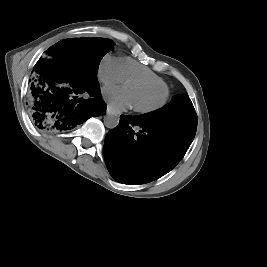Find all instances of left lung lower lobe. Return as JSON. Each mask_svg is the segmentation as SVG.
<instances>
[{"label":"left lung lower lobe","mask_w":267,"mask_h":267,"mask_svg":"<svg viewBox=\"0 0 267 267\" xmlns=\"http://www.w3.org/2000/svg\"><path fill=\"white\" fill-rule=\"evenodd\" d=\"M140 131H134V127ZM196 125L176 120L120 116L104 142V158L111 176L124 184L156 180L183 158L196 133Z\"/></svg>","instance_id":"1"}]
</instances>
